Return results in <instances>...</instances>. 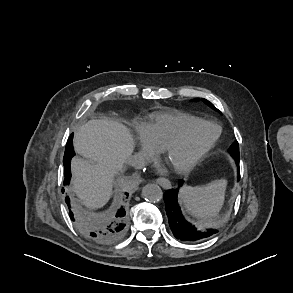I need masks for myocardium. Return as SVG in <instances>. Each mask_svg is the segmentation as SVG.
Wrapping results in <instances>:
<instances>
[{"label": "myocardium", "instance_id": "f54148a6", "mask_svg": "<svg viewBox=\"0 0 293 293\" xmlns=\"http://www.w3.org/2000/svg\"><path fill=\"white\" fill-rule=\"evenodd\" d=\"M200 126H209L214 128L215 132L212 137L200 148L198 149L192 156L189 158L175 163H170L169 158L172 154L181 148L187 141V138L190 132ZM221 135V129L218 125L205 120H198L194 123L189 124L186 126L179 136L173 140L172 142L168 143L167 145L163 146L160 149V152L163 154L165 159L168 163L172 166L173 170L177 173H186L191 171L209 152L210 150L216 145Z\"/></svg>", "mask_w": 293, "mask_h": 293}]
</instances>
